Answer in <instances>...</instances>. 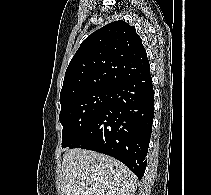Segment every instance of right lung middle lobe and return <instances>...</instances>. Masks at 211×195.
I'll list each match as a JSON object with an SVG mask.
<instances>
[{
    "mask_svg": "<svg viewBox=\"0 0 211 195\" xmlns=\"http://www.w3.org/2000/svg\"><path fill=\"white\" fill-rule=\"evenodd\" d=\"M110 89L97 88L74 94L61 101L62 148L71 147L106 107Z\"/></svg>",
    "mask_w": 211,
    "mask_h": 195,
    "instance_id": "dd1d6c3e",
    "label": "right lung middle lobe"
}]
</instances>
